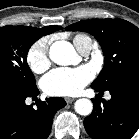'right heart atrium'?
I'll return each mask as SVG.
<instances>
[{"label": "right heart atrium", "instance_id": "obj_1", "mask_svg": "<svg viewBox=\"0 0 139 139\" xmlns=\"http://www.w3.org/2000/svg\"><path fill=\"white\" fill-rule=\"evenodd\" d=\"M26 61L30 69L35 73H42L49 67L50 60L46 38H41L30 46L26 54Z\"/></svg>", "mask_w": 139, "mask_h": 139}]
</instances>
